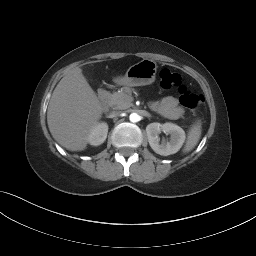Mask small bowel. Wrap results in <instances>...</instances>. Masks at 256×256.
Masks as SVG:
<instances>
[{"mask_svg":"<svg viewBox=\"0 0 256 256\" xmlns=\"http://www.w3.org/2000/svg\"><path fill=\"white\" fill-rule=\"evenodd\" d=\"M151 107L159 115L169 120H177L184 114V110L173 96H167L160 101L153 102Z\"/></svg>","mask_w":256,"mask_h":256,"instance_id":"1","label":"small bowel"}]
</instances>
